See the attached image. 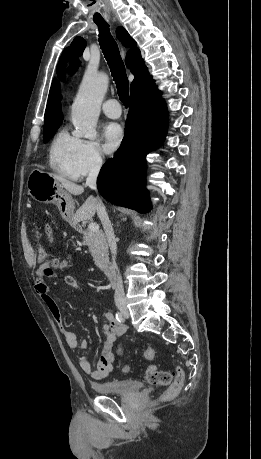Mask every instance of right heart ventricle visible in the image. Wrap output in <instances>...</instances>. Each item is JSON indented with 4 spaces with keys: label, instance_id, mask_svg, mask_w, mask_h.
I'll use <instances>...</instances> for the list:
<instances>
[{
    "label": "right heart ventricle",
    "instance_id": "1",
    "mask_svg": "<svg viewBox=\"0 0 261 459\" xmlns=\"http://www.w3.org/2000/svg\"><path fill=\"white\" fill-rule=\"evenodd\" d=\"M79 139L70 135L66 129L59 130L49 147V165L59 175L77 179L74 162Z\"/></svg>",
    "mask_w": 261,
    "mask_h": 459
}]
</instances>
